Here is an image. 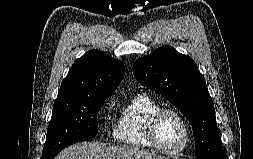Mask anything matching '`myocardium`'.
Listing matches in <instances>:
<instances>
[{
	"label": "myocardium",
	"instance_id": "1",
	"mask_svg": "<svg viewBox=\"0 0 253 159\" xmlns=\"http://www.w3.org/2000/svg\"><path fill=\"white\" fill-rule=\"evenodd\" d=\"M166 113H172L176 115L181 121L184 127V131H185V137H184V141L182 145L178 149L173 150V151L167 150L164 147H162L161 144L159 143L158 135H157L159 120ZM146 135L150 144L153 146V148L157 149L161 153L168 156H178V155H181L188 147L189 142H190L191 132H190V126L188 124V121L186 120V118L180 111L174 108L160 107L154 113H152L151 116L149 117V120L146 126Z\"/></svg>",
	"mask_w": 253,
	"mask_h": 159
}]
</instances>
